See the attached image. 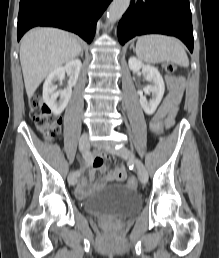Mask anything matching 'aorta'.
Segmentation results:
<instances>
[{"instance_id": "1", "label": "aorta", "mask_w": 219, "mask_h": 258, "mask_svg": "<svg viewBox=\"0 0 219 258\" xmlns=\"http://www.w3.org/2000/svg\"><path fill=\"white\" fill-rule=\"evenodd\" d=\"M130 2L131 0H113L107 12L108 23L118 21L128 9Z\"/></svg>"}]
</instances>
